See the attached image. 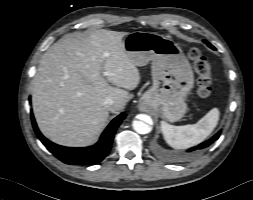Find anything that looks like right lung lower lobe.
<instances>
[{
  "label": "right lung lower lobe",
  "mask_w": 253,
  "mask_h": 200,
  "mask_svg": "<svg viewBox=\"0 0 253 200\" xmlns=\"http://www.w3.org/2000/svg\"><path fill=\"white\" fill-rule=\"evenodd\" d=\"M125 117L126 114L121 113L119 116L114 118L102 133L97 144L90 147L73 148L60 146L48 141L40 133L33 115L31 116L33 128L41 142L54 156L62 162L70 165H89L97 164L102 161L109 153L114 134Z\"/></svg>",
  "instance_id": "right-lung-lower-lobe-1"
}]
</instances>
